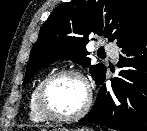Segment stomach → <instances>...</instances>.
I'll return each mask as SVG.
<instances>
[{
	"mask_svg": "<svg viewBox=\"0 0 147 131\" xmlns=\"http://www.w3.org/2000/svg\"><path fill=\"white\" fill-rule=\"evenodd\" d=\"M53 131H94L93 129H90V128H75V129H67V128H64V127H61V128H58V129H55Z\"/></svg>",
	"mask_w": 147,
	"mask_h": 131,
	"instance_id": "obj_1",
	"label": "stomach"
}]
</instances>
